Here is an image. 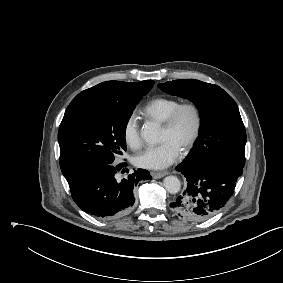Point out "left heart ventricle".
<instances>
[{
    "label": "left heart ventricle",
    "mask_w": 283,
    "mask_h": 283,
    "mask_svg": "<svg viewBox=\"0 0 283 283\" xmlns=\"http://www.w3.org/2000/svg\"><path fill=\"white\" fill-rule=\"evenodd\" d=\"M193 124L194 120L192 114L189 111L184 112L173 131L162 129L160 142L170 141L181 149L191 135Z\"/></svg>",
    "instance_id": "obj_1"
}]
</instances>
